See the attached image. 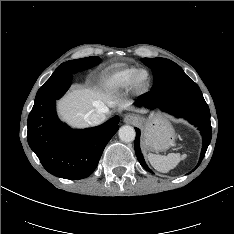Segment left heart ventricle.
I'll list each match as a JSON object with an SVG mask.
<instances>
[{
  "label": "left heart ventricle",
  "instance_id": "obj_1",
  "mask_svg": "<svg viewBox=\"0 0 234 234\" xmlns=\"http://www.w3.org/2000/svg\"><path fill=\"white\" fill-rule=\"evenodd\" d=\"M148 81V75L146 73H142L138 78V83L140 86L146 85Z\"/></svg>",
  "mask_w": 234,
  "mask_h": 234
}]
</instances>
